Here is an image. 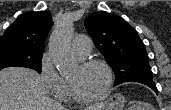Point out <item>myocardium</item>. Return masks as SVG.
<instances>
[{
  "mask_svg": "<svg viewBox=\"0 0 171 110\" xmlns=\"http://www.w3.org/2000/svg\"><path fill=\"white\" fill-rule=\"evenodd\" d=\"M79 66L82 69H86V68H89L92 66L102 67L106 72L107 81H106L104 89L99 94H97L95 96L85 97V96H81L77 92L73 83L68 79V88H69L70 97L75 102H78L81 104H89V103H93V102L103 99L109 93V91L113 85V82H114V74H113V70H112L111 66L107 62H105L103 60H99V59L84 60L80 63Z\"/></svg>",
  "mask_w": 171,
  "mask_h": 110,
  "instance_id": "obj_1",
  "label": "myocardium"
}]
</instances>
